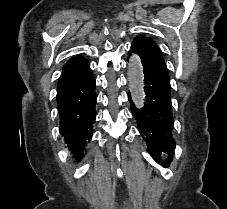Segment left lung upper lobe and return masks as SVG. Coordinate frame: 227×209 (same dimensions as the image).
Instances as JSON below:
<instances>
[{"label":"left lung upper lobe","mask_w":227,"mask_h":209,"mask_svg":"<svg viewBox=\"0 0 227 209\" xmlns=\"http://www.w3.org/2000/svg\"><path fill=\"white\" fill-rule=\"evenodd\" d=\"M131 46L136 49L137 54L141 58L149 60L168 73L162 52L159 50L156 42H154L151 38L138 36L133 40Z\"/></svg>","instance_id":"1"}]
</instances>
